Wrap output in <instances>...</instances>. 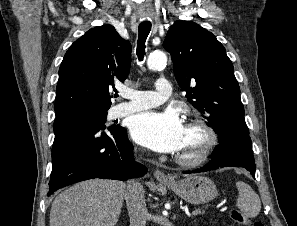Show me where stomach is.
<instances>
[{"mask_svg": "<svg viewBox=\"0 0 297 226\" xmlns=\"http://www.w3.org/2000/svg\"><path fill=\"white\" fill-rule=\"evenodd\" d=\"M176 195L192 204H204L217 196V188L208 177L190 175L186 178L165 183Z\"/></svg>", "mask_w": 297, "mask_h": 226, "instance_id": "obj_1", "label": "stomach"}]
</instances>
